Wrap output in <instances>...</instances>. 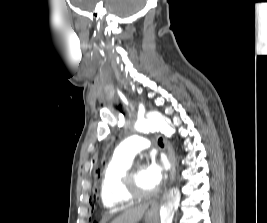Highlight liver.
<instances>
[{
	"label": "liver",
	"mask_w": 267,
	"mask_h": 223,
	"mask_svg": "<svg viewBox=\"0 0 267 223\" xmlns=\"http://www.w3.org/2000/svg\"><path fill=\"white\" fill-rule=\"evenodd\" d=\"M147 209H148V204L130 208L126 210L123 214L118 216L111 223H137L141 220Z\"/></svg>",
	"instance_id": "6515ba94"
}]
</instances>
